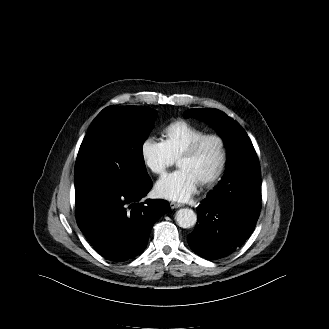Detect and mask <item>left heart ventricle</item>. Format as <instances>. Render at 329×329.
<instances>
[{
	"label": "left heart ventricle",
	"mask_w": 329,
	"mask_h": 329,
	"mask_svg": "<svg viewBox=\"0 0 329 329\" xmlns=\"http://www.w3.org/2000/svg\"><path fill=\"white\" fill-rule=\"evenodd\" d=\"M219 159L218 143L215 140H208L194 156L178 160L177 165L179 168L187 169L200 182L216 169Z\"/></svg>",
	"instance_id": "b2bd125f"
}]
</instances>
